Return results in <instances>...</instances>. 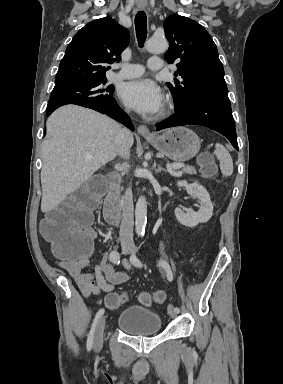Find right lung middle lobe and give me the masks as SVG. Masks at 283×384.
I'll return each mask as SVG.
<instances>
[{"instance_id": "1", "label": "right lung middle lobe", "mask_w": 283, "mask_h": 384, "mask_svg": "<svg viewBox=\"0 0 283 384\" xmlns=\"http://www.w3.org/2000/svg\"><path fill=\"white\" fill-rule=\"evenodd\" d=\"M106 79L55 87L47 107H60L66 104H81L113 99V85H105Z\"/></svg>"}]
</instances>
